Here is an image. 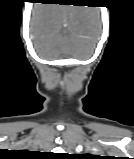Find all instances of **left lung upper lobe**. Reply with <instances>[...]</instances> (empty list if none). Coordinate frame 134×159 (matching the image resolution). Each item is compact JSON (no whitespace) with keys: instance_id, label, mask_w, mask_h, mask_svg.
<instances>
[{"instance_id":"1","label":"left lung upper lobe","mask_w":134,"mask_h":159,"mask_svg":"<svg viewBox=\"0 0 134 159\" xmlns=\"http://www.w3.org/2000/svg\"><path fill=\"white\" fill-rule=\"evenodd\" d=\"M79 158L80 159H102L100 156L90 155V154L80 155Z\"/></svg>"}]
</instances>
